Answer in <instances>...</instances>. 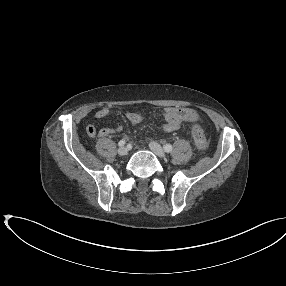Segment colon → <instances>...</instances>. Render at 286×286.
<instances>
[{
    "mask_svg": "<svg viewBox=\"0 0 286 286\" xmlns=\"http://www.w3.org/2000/svg\"><path fill=\"white\" fill-rule=\"evenodd\" d=\"M192 136H193L196 147L200 151L206 150L208 146V141H207V138H206V135L203 129L200 126H197V125L193 126Z\"/></svg>",
    "mask_w": 286,
    "mask_h": 286,
    "instance_id": "5ec220e1",
    "label": "colon"
}]
</instances>
